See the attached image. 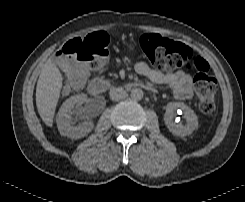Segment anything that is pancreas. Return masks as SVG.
I'll return each instance as SVG.
<instances>
[{
	"label": "pancreas",
	"mask_w": 245,
	"mask_h": 202,
	"mask_svg": "<svg viewBox=\"0 0 245 202\" xmlns=\"http://www.w3.org/2000/svg\"><path fill=\"white\" fill-rule=\"evenodd\" d=\"M112 75H113L114 77H116V78L118 77L117 74H112Z\"/></svg>",
	"instance_id": "1"
}]
</instances>
